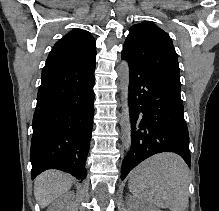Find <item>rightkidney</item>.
I'll return each instance as SVG.
<instances>
[{"instance_id": "right-kidney-1", "label": "right kidney", "mask_w": 219, "mask_h": 211, "mask_svg": "<svg viewBox=\"0 0 219 211\" xmlns=\"http://www.w3.org/2000/svg\"><path fill=\"white\" fill-rule=\"evenodd\" d=\"M69 197L68 195H60L58 199H55L48 207L47 211H68Z\"/></svg>"}]
</instances>
